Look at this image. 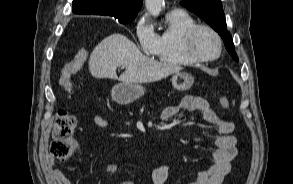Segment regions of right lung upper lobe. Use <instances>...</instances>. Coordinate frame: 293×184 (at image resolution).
<instances>
[{
  "mask_svg": "<svg viewBox=\"0 0 293 184\" xmlns=\"http://www.w3.org/2000/svg\"><path fill=\"white\" fill-rule=\"evenodd\" d=\"M143 0H73L75 14L113 16L118 20L135 18Z\"/></svg>",
  "mask_w": 293,
  "mask_h": 184,
  "instance_id": "1",
  "label": "right lung upper lobe"
}]
</instances>
